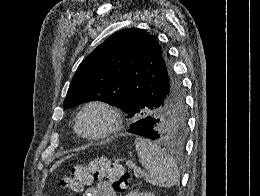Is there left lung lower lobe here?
I'll use <instances>...</instances> for the list:
<instances>
[{"mask_svg":"<svg viewBox=\"0 0 260 196\" xmlns=\"http://www.w3.org/2000/svg\"><path fill=\"white\" fill-rule=\"evenodd\" d=\"M154 127H155V122L153 119L143 118L134 122L130 126L131 129H129L128 132L149 138L151 140H156L157 133Z\"/></svg>","mask_w":260,"mask_h":196,"instance_id":"obj_1","label":"left lung lower lobe"}]
</instances>
